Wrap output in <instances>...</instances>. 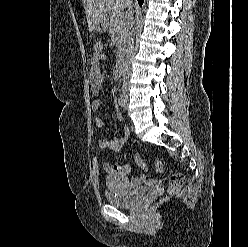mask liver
<instances>
[{"instance_id":"obj_1","label":"liver","mask_w":248,"mask_h":247,"mask_svg":"<svg viewBox=\"0 0 248 247\" xmlns=\"http://www.w3.org/2000/svg\"><path fill=\"white\" fill-rule=\"evenodd\" d=\"M87 17L89 30L92 31L98 20L108 11L120 12L124 10L128 0H82Z\"/></svg>"}]
</instances>
